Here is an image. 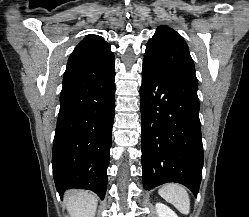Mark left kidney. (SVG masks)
<instances>
[{
  "mask_svg": "<svg viewBox=\"0 0 249 217\" xmlns=\"http://www.w3.org/2000/svg\"><path fill=\"white\" fill-rule=\"evenodd\" d=\"M158 217H178L177 214L163 203H156Z\"/></svg>",
  "mask_w": 249,
  "mask_h": 217,
  "instance_id": "obj_1",
  "label": "left kidney"
}]
</instances>
